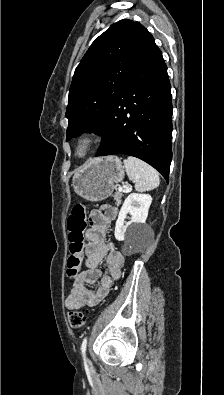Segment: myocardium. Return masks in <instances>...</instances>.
Masks as SVG:
<instances>
[{"label": "myocardium", "instance_id": "myocardium-1", "mask_svg": "<svg viewBox=\"0 0 224 395\" xmlns=\"http://www.w3.org/2000/svg\"><path fill=\"white\" fill-rule=\"evenodd\" d=\"M97 141V136L93 132L81 134L75 142V155L79 158H85L89 155ZM83 149V152L80 150Z\"/></svg>", "mask_w": 224, "mask_h": 395}]
</instances>
